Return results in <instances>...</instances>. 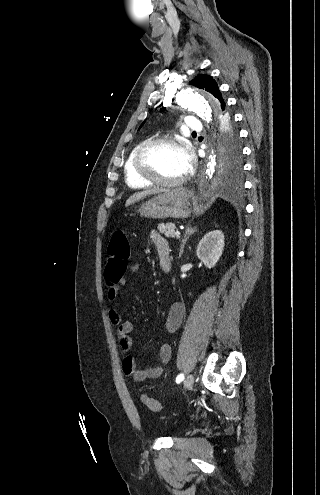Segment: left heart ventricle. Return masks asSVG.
<instances>
[{"label":"left heart ventricle","instance_id":"obj_1","mask_svg":"<svg viewBox=\"0 0 320 495\" xmlns=\"http://www.w3.org/2000/svg\"><path fill=\"white\" fill-rule=\"evenodd\" d=\"M186 153L178 146L163 144L153 148L146 156L150 170L160 178L176 180L186 172Z\"/></svg>","mask_w":320,"mask_h":495}]
</instances>
